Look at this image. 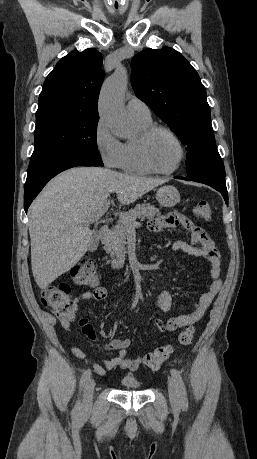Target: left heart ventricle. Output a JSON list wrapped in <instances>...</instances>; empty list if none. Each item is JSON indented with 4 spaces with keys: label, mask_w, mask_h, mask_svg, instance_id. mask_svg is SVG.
I'll list each match as a JSON object with an SVG mask.
<instances>
[{
    "label": "left heart ventricle",
    "mask_w": 257,
    "mask_h": 459,
    "mask_svg": "<svg viewBox=\"0 0 257 459\" xmlns=\"http://www.w3.org/2000/svg\"><path fill=\"white\" fill-rule=\"evenodd\" d=\"M149 152L153 163L163 170L173 168L180 156L176 142L164 132L154 135L150 142Z\"/></svg>",
    "instance_id": "left-heart-ventricle-1"
}]
</instances>
